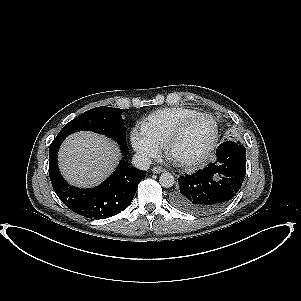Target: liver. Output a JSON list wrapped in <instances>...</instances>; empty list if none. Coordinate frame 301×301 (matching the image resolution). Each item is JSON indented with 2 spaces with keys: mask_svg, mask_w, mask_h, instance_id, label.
I'll use <instances>...</instances> for the list:
<instances>
[{
  "mask_svg": "<svg viewBox=\"0 0 301 301\" xmlns=\"http://www.w3.org/2000/svg\"><path fill=\"white\" fill-rule=\"evenodd\" d=\"M120 156V149L112 140L82 131L65 139L58 161L60 171L69 183L78 187H92L114 171Z\"/></svg>",
  "mask_w": 301,
  "mask_h": 301,
  "instance_id": "liver-1",
  "label": "liver"
}]
</instances>
